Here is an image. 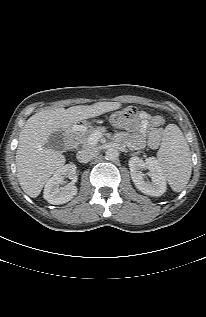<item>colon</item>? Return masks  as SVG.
Listing matches in <instances>:
<instances>
[{
    "label": "colon",
    "instance_id": "1",
    "mask_svg": "<svg viewBox=\"0 0 206 317\" xmlns=\"http://www.w3.org/2000/svg\"><path fill=\"white\" fill-rule=\"evenodd\" d=\"M138 111L135 107H127L109 116V122L118 128H132L136 125Z\"/></svg>",
    "mask_w": 206,
    "mask_h": 317
}]
</instances>
